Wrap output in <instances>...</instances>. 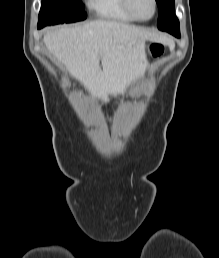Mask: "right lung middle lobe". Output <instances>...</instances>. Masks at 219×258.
<instances>
[{"mask_svg":"<svg viewBox=\"0 0 219 258\" xmlns=\"http://www.w3.org/2000/svg\"><path fill=\"white\" fill-rule=\"evenodd\" d=\"M81 0H42L38 26L72 23L86 19Z\"/></svg>","mask_w":219,"mask_h":258,"instance_id":"1","label":"right lung middle lobe"}]
</instances>
